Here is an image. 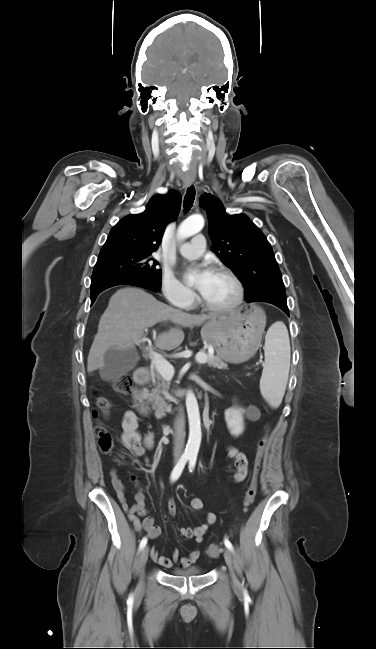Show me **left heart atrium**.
<instances>
[{"mask_svg": "<svg viewBox=\"0 0 376 649\" xmlns=\"http://www.w3.org/2000/svg\"><path fill=\"white\" fill-rule=\"evenodd\" d=\"M189 273L195 277L197 288L200 292H202L206 288L213 276V271L205 263L201 264L200 266L190 268Z\"/></svg>", "mask_w": 376, "mask_h": 649, "instance_id": "1", "label": "left heart atrium"}]
</instances>
